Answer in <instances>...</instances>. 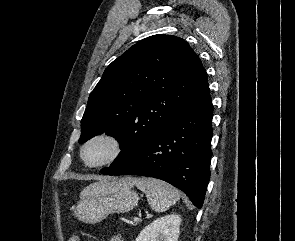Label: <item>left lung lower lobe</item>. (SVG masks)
Instances as JSON below:
<instances>
[{
	"instance_id": "obj_1",
	"label": "left lung lower lobe",
	"mask_w": 295,
	"mask_h": 241,
	"mask_svg": "<svg viewBox=\"0 0 295 241\" xmlns=\"http://www.w3.org/2000/svg\"><path fill=\"white\" fill-rule=\"evenodd\" d=\"M213 105L210 95L160 129L130 160L102 173L164 180L201 208L210 179Z\"/></svg>"
}]
</instances>
